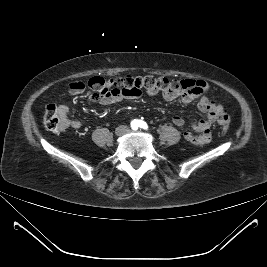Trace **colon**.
<instances>
[{"mask_svg":"<svg viewBox=\"0 0 267 267\" xmlns=\"http://www.w3.org/2000/svg\"><path fill=\"white\" fill-rule=\"evenodd\" d=\"M113 85L123 94L131 97H138L143 92L148 94L177 92L185 87L182 81L152 75L118 77L113 81ZM217 122L220 125V134L225 135L230 125L228 114L224 111L220 112L217 115ZM44 123L46 128L53 132H60L64 129L63 121L59 117L55 105L50 104L46 107Z\"/></svg>","mask_w":267,"mask_h":267,"instance_id":"obj_1","label":"colon"}]
</instances>
